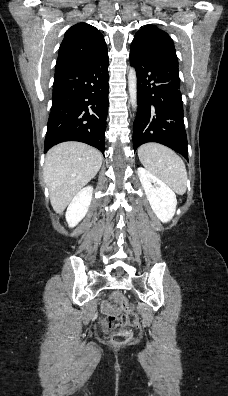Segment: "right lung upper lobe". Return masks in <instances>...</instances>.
I'll return each mask as SVG.
<instances>
[{
  "mask_svg": "<svg viewBox=\"0 0 228 396\" xmlns=\"http://www.w3.org/2000/svg\"><path fill=\"white\" fill-rule=\"evenodd\" d=\"M107 50L103 35L87 23L69 28L59 48L56 70L87 62Z\"/></svg>",
  "mask_w": 228,
  "mask_h": 396,
  "instance_id": "1",
  "label": "right lung upper lobe"
}]
</instances>
